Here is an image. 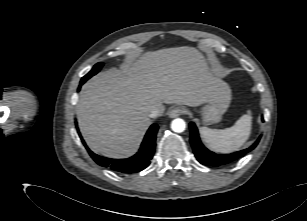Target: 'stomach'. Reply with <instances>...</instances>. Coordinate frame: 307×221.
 I'll return each instance as SVG.
<instances>
[{
    "label": "stomach",
    "instance_id": "stomach-1",
    "mask_svg": "<svg viewBox=\"0 0 307 221\" xmlns=\"http://www.w3.org/2000/svg\"><path fill=\"white\" fill-rule=\"evenodd\" d=\"M230 102L231 89L227 83L221 82L215 95L208 100L200 110L203 123L209 125L221 121L223 114L230 105Z\"/></svg>",
    "mask_w": 307,
    "mask_h": 221
}]
</instances>
